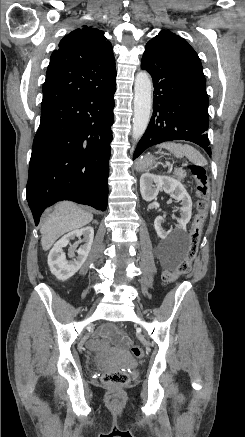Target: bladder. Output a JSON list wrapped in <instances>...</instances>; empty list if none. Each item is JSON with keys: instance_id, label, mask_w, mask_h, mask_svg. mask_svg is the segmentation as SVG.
<instances>
[{"instance_id": "31cf9c89", "label": "bladder", "mask_w": 245, "mask_h": 437, "mask_svg": "<svg viewBox=\"0 0 245 437\" xmlns=\"http://www.w3.org/2000/svg\"><path fill=\"white\" fill-rule=\"evenodd\" d=\"M103 363L114 369H127L136 366V360L125 351L118 349H107L101 355Z\"/></svg>"}]
</instances>
